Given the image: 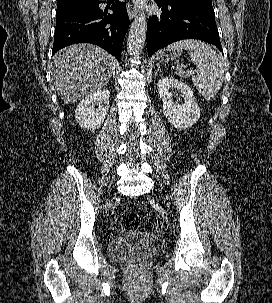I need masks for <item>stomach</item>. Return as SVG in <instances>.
I'll list each match as a JSON object with an SVG mask.
<instances>
[{
	"label": "stomach",
	"instance_id": "1",
	"mask_svg": "<svg viewBox=\"0 0 272 303\" xmlns=\"http://www.w3.org/2000/svg\"><path fill=\"white\" fill-rule=\"evenodd\" d=\"M182 49H179V50H170V49H164L162 50L160 53H159V58L162 60V61H170V60H173V59H176L180 53H181Z\"/></svg>",
	"mask_w": 272,
	"mask_h": 303
}]
</instances>
